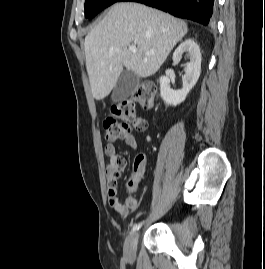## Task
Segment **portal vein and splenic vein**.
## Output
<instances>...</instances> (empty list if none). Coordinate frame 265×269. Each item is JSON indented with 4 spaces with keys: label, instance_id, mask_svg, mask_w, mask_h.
<instances>
[{
    "label": "portal vein and splenic vein",
    "instance_id": "18ae733b",
    "mask_svg": "<svg viewBox=\"0 0 265 269\" xmlns=\"http://www.w3.org/2000/svg\"><path fill=\"white\" fill-rule=\"evenodd\" d=\"M129 51H130L131 53H137V48H136V46H130V47H129ZM152 54H154V51H148V52L145 53V55H147V56L152 55Z\"/></svg>",
    "mask_w": 265,
    "mask_h": 269
}]
</instances>
